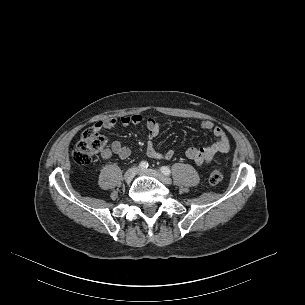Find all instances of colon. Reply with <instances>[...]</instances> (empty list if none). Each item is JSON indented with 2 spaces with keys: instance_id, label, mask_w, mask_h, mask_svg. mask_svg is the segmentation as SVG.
Here are the masks:
<instances>
[{
  "instance_id": "colon-1",
  "label": "colon",
  "mask_w": 305,
  "mask_h": 305,
  "mask_svg": "<svg viewBox=\"0 0 305 305\" xmlns=\"http://www.w3.org/2000/svg\"><path fill=\"white\" fill-rule=\"evenodd\" d=\"M108 140L95 127L85 129L73 151L74 160L80 165H87L92 162L94 157L107 150ZM222 173L217 166L210 171L209 181L212 185L220 183Z\"/></svg>"
}]
</instances>
